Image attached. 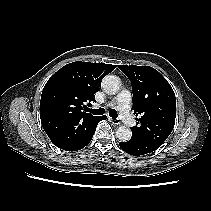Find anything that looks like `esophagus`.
<instances>
[{
	"instance_id": "34e87169",
	"label": "esophagus",
	"mask_w": 211,
	"mask_h": 211,
	"mask_svg": "<svg viewBox=\"0 0 211 211\" xmlns=\"http://www.w3.org/2000/svg\"><path fill=\"white\" fill-rule=\"evenodd\" d=\"M111 121L114 125H120L121 124V122L118 118H112Z\"/></svg>"
}]
</instances>
